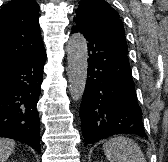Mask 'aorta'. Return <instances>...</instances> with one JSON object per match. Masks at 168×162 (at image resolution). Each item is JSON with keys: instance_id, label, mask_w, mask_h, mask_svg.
<instances>
[{"instance_id": "obj_1", "label": "aorta", "mask_w": 168, "mask_h": 162, "mask_svg": "<svg viewBox=\"0 0 168 162\" xmlns=\"http://www.w3.org/2000/svg\"><path fill=\"white\" fill-rule=\"evenodd\" d=\"M68 82L73 100H81L87 79L88 49L87 41L80 33H74L68 41Z\"/></svg>"}]
</instances>
